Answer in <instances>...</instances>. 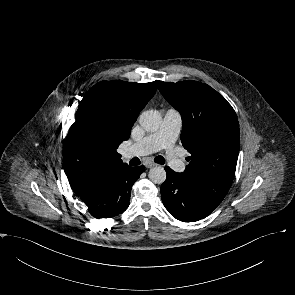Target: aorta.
I'll return each mask as SVG.
<instances>
[{
    "label": "aorta",
    "mask_w": 295,
    "mask_h": 295,
    "mask_svg": "<svg viewBox=\"0 0 295 295\" xmlns=\"http://www.w3.org/2000/svg\"><path fill=\"white\" fill-rule=\"evenodd\" d=\"M139 123L144 130L154 132L159 129L162 116L157 110H147L139 116ZM148 176L153 183L162 184L166 180V171L161 166H155L150 169Z\"/></svg>",
    "instance_id": "1"
}]
</instances>
